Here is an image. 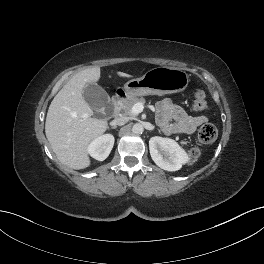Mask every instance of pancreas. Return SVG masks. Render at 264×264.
<instances>
[{"mask_svg":"<svg viewBox=\"0 0 264 264\" xmlns=\"http://www.w3.org/2000/svg\"><path fill=\"white\" fill-rule=\"evenodd\" d=\"M136 103L145 104V99L143 97L141 98L132 97V98L124 99L119 104V108L121 109L124 116L128 118H132L134 114L131 112V109Z\"/></svg>","mask_w":264,"mask_h":264,"instance_id":"pancreas-1","label":"pancreas"}]
</instances>
